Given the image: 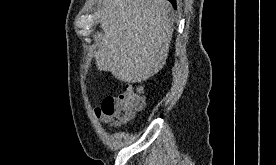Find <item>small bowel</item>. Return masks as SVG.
<instances>
[{
  "label": "small bowel",
  "instance_id": "small-bowel-1",
  "mask_svg": "<svg viewBox=\"0 0 276 165\" xmlns=\"http://www.w3.org/2000/svg\"><path fill=\"white\" fill-rule=\"evenodd\" d=\"M100 107H101V106H100ZM100 107L97 108V109L95 110L96 115H97L99 118H101L103 121L109 122L110 119H108L107 117H104V116L101 114Z\"/></svg>",
  "mask_w": 276,
  "mask_h": 165
}]
</instances>
